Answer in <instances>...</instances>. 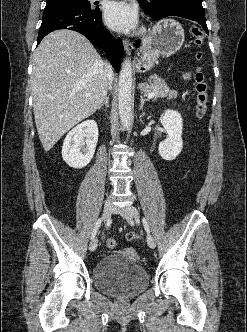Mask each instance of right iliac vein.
I'll return each mask as SVG.
<instances>
[{
  "mask_svg": "<svg viewBox=\"0 0 247 332\" xmlns=\"http://www.w3.org/2000/svg\"><path fill=\"white\" fill-rule=\"evenodd\" d=\"M114 211V207L113 205L111 204V202H105L104 204V208H103V220L104 222H106L112 215ZM98 246V239L97 238H94L91 242H90V245H89V250L90 251H95L96 248Z\"/></svg>",
  "mask_w": 247,
  "mask_h": 332,
  "instance_id": "63e3f726",
  "label": "right iliac vein"
}]
</instances>
